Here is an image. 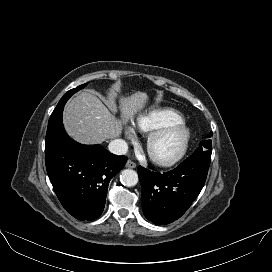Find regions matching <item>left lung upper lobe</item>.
I'll return each mask as SVG.
<instances>
[{"label":"left lung upper lobe","mask_w":272,"mask_h":272,"mask_svg":"<svg viewBox=\"0 0 272 272\" xmlns=\"http://www.w3.org/2000/svg\"><path fill=\"white\" fill-rule=\"evenodd\" d=\"M208 137H212V133L208 135ZM211 149V140H204L200 143V146L194 151L193 154H200L203 153L204 151L210 150Z\"/></svg>","instance_id":"1"}]
</instances>
